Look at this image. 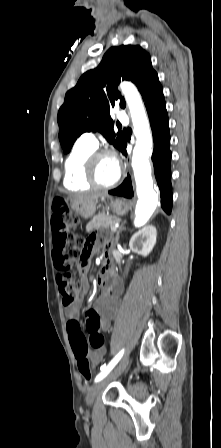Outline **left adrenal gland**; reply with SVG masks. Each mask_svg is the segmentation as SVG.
Returning <instances> with one entry per match:
<instances>
[{
    "instance_id": "obj_1",
    "label": "left adrenal gland",
    "mask_w": 221,
    "mask_h": 448,
    "mask_svg": "<svg viewBox=\"0 0 221 448\" xmlns=\"http://www.w3.org/2000/svg\"><path fill=\"white\" fill-rule=\"evenodd\" d=\"M124 229V223H122V225L120 226L119 230L117 231L116 234V241L119 240V236H120V231Z\"/></svg>"
}]
</instances>
